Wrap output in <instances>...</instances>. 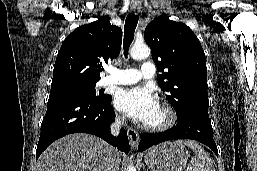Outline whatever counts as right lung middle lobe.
Instances as JSON below:
<instances>
[{"label":"right lung middle lobe","mask_w":257,"mask_h":171,"mask_svg":"<svg viewBox=\"0 0 257 171\" xmlns=\"http://www.w3.org/2000/svg\"><path fill=\"white\" fill-rule=\"evenodd\" d=\"M96 82L90 83H70L61 87H52L50 96L64 95V94H81L86 95L97 100H104L109 97L107 94L100 92L96 95L95 91Z\"/></svg>","instance_id":"1"}]
</instances>
